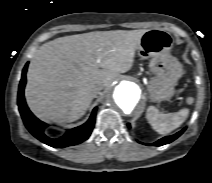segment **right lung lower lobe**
I'll use <instances>...</instances> for the list:
<instances>
[{
	"label": "right lung lower lobe",
	"instance_id": "1",
	"mask_svg": "<svg viewBox=\"0 0 212 183\" xmlns=\"http://www.w3.org/2000/svg\"><path fill=\"white\" fill-rule=\"evenodd\" d=\"M28 63L25 65L22 78L19 85L18 91V106L21 117L24 121L26 128L30 131V133L36 137L41 142L55 148H63L67 146H72L79 144L85 141L91 134L94 124H95V117H96V110L95 108L89 118V120L74 129L68 130L64 136L52 139L45 135L44 129L47 127V124L37 119L29 110L26 105L24 99V87L26 83V71H27Z\"/></svg>",
	"mask_w": 212,
	"mask_h": 183
}]
</instances>
